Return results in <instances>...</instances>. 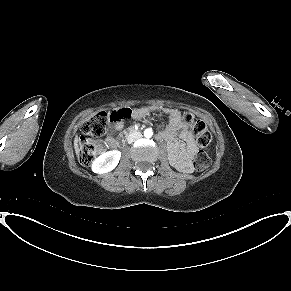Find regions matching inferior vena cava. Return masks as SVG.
<instances>
[{
	"label": "inferior vena cava",
	"instance_id": "obj_1",
	"mask_svg": "<svg viewBox=\"0 0 291 291\" xmlns=\"http://www.w3.org/2000/svg\"><path fill=\"white\" fill-rule=\"evenodd\" d=\"M141 137L142 134L140 132H132L131 134L128 135L127 141L128 143H132Z\"/></svg>",
	"mask_w": 291,
	"mask_h": 291
}]
</instances>
